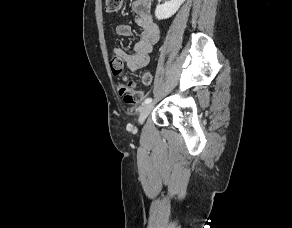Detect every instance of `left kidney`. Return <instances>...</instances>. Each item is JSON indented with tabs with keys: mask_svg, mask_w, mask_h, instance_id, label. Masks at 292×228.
Masks as SVG:
<instances>
[{
	"mask_svg": "<svg viewBox=\"0 0 292 228\" xmlns=\"http://www.w3.org/2000/svg\"><path fill=\"white\" fill-rule=\"evenodd\" d=\"M185 0H170L156 6L155 16L157 19H167L174 15Z\"/></svg>",
	"mask_w": 292,
	"mask_h": 228,
	"instance_id": "obj_1",
	"label": "left kidney"
}]
</instances>
